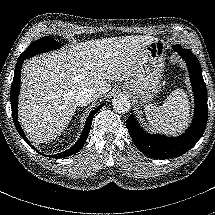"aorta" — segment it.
Returning <instances> with one entry per match:
<instances>
[{"instance_id":"762f6f07","label":"aorta","mask_w":215,"mask_h":215,"mask_svg":"<svg viewBox=\"0 0 215 215\" xmlns=\"http://www.w3.org/2000/svg\"><path fill=\"white\" fill-rule=\"evenodd\" d=\"M113 108L116 112L128 113L131 109V101L127 96L116 95L112 101Z\"/></svg>"}]
</instances>
